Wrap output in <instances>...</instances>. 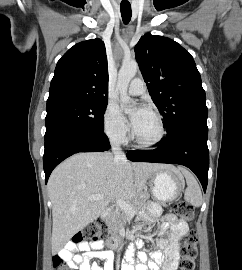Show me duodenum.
Masks as SVG:
<instances>
[{
    "instance_id": "1",
    "label": "duodenum",
    "mask_w": 242,
    "mask_h": 270,
    "mask_svg": "<svg viewBox=\"0 0 242 270\" xmlns=\"http://www.w3.org/2000/svg\"><path fill=\"white\" fill-rule=\"evenodd\" d=\"M109 215H110V209H105L104 212L102 213V218L106 220L108 219ZM109 243L112 248H118L121 245V241L118 238L111 239Z\"/></svg>"
}]
</instances>
